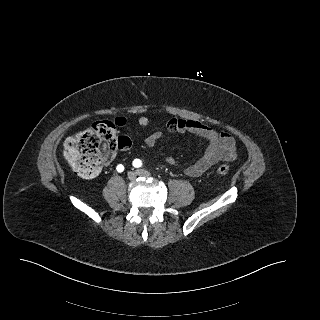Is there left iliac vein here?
Listing matches in <instances>:
<instances>
[{
    "instance_id": "4c4485c4",
    "label": "left iliac vein",
    "mask_w": 320,
    "mask_h": 320,
    "mask_svg": "<svg viewBox=\"0 0 320 320\" xmlns=\"http://www.w3.org/2000/svg\"><path fill=\"white\" fill-rule=\"evenodd\" d=\"M136 173L138 176H144V177H149L150 173L147 170L144 169H138L136 170Z\"/></svg>"
}]
</instances>
